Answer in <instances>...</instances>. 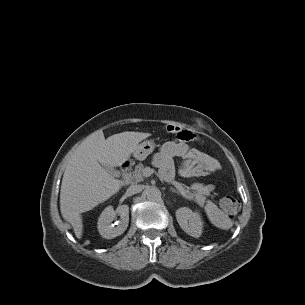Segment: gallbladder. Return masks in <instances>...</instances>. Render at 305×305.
Returning <instances> with one entry per match:
<instances>
[{"label":"gallbladder","instance_id":"obj_1","mask_svg":"<svg viewBox=\"0 0 305 305\" xmlns=\"http://www.w3.org/2000/svg\"><path fill=\"white\" fill-rule=\"evenodd\" d=\"M103 168L112 176H116L117 175V170L114 169L113 167H109V166H105V165H102Z\"/></svg>","mask_w":305,"mask_h":305}]
</instances>
